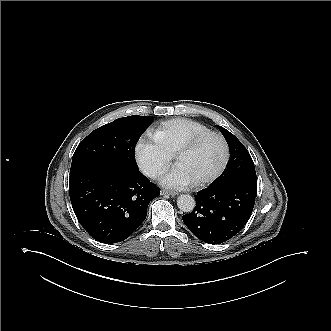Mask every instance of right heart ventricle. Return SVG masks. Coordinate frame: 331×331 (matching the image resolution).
<instances>
[{
    "label": "right heart ventricle",
    "instance_id": "1",
    "mask_svg": "<svg viewBox=\"0 0 331 331\" xmlns=\"http://www.w3.org/2000/svg\"><path fill=\"white\" fill-rule=\"evenodd\" d=\"M209 129L203 123L189 118L170 119L159 127L155 142L168 155L175 154L187 141Z\"/></svg>",
    "mask_w": 331,
    "mask_h": 331
}]
</instances>
